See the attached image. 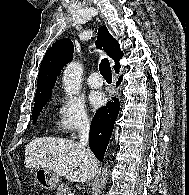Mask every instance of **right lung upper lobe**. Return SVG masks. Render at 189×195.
Returning <instances> with one entry per match:
<instances>
[{
    "label": "right lung upper lobe",
    "mask_w": 189,
    "mask_h": 195,
    "mask_svg": "<svg viewBox=\"0 0 189 195\" xmlns=\"http://www.w3.org/2000/svg\"><path fill=\"white\" fill-rule=\"evenodd\" d=\"M96 46L103 50L115 61L114 70L120 69L119 60L123 56L120 45L109 33L105 26L98 29ZM74 46L70 39L64 38L56 41L47 50L39 69L37 90L34 102L50 98L57 75L62 68L73 59Z\"/></svg>",
    "instance_id": "cb5924a9"
}]
</instances>
